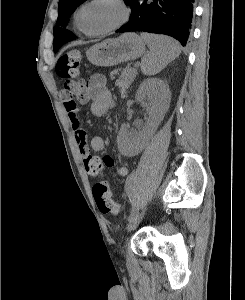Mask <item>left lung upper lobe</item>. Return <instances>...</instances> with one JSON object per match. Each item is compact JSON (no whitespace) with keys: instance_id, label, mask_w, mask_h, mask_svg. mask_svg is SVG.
<instances>
[{"instance_id":"1","label":"left lung upper lobe","mask_w":245,"mask_h":300,"mask_svg":"<svg viewBox=\"0 0 245 300\" xmlns=\"http://www.w3.org/2000/svg\"><path fill=\"white\" fill-rule=\"evenodd\" d=\"M86 0H60L58 3L59 16L57 19L58 26L54 27V42L53 49L54 52L66 42L74 39V35L67 29L63 27L67 26V19L74 12L76 7L82 4ZM134 0H126L125 3L132 8ZM61 26V27H60Z\"/></svg>"}]
</instances>
